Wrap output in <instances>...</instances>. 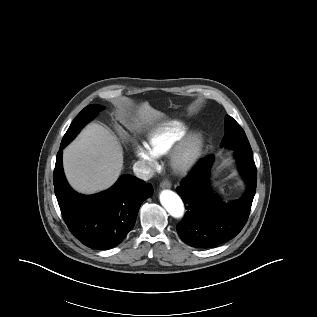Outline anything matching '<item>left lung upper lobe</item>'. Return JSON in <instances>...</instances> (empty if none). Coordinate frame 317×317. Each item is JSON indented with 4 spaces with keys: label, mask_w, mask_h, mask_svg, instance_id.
Here are the masks:
<instances>
[{
    "label": "left lung upper lobe",
    "mask_w": 317,
    "mask_h": 317,
    "mask_svg": "<svg viewBox=\"0 0 317 317\" xmlns=\"http://www.w3.org/2000/svg\"><path fill=\"white\" fill-rule=\"evenodd\" d=\"M240 151L246 154H252L251 146L243 129L229 115L225 117V135L222 140V146Z\"/></svg>",
    "instance_id": "1"
}]
</instances>
